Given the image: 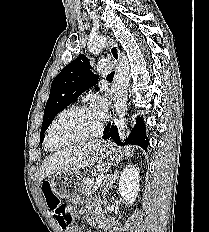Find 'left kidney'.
<instances>
[{
	"label": "left kidney",
	"mask_w": 209,
	"mask_h": 232,
	"mask_svg": "<svg viewBox=\"0 0 209 232\" xmlns=\"http://www.w3.org/2000/svg\"><path fill=\"white\" fill-rule=\"evenodd\" d=\"M139 168L128 165L119 179V193L127 204H133L139 193Z\"/></svg>",
	"instance_id": "1"
}]
</instances>
